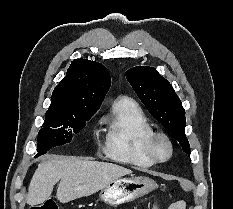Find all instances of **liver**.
Listing matches in <instances>:
<instances>
[{
  "label": "liver",
  "mask_w": 233,
  "mask_h": 209,
  "mask_svg": "<svg viewBox=\"0 0 233 209\" xmlns=\"http://www.w3.org/2000/svg\"><path fill=\"white\" fill-rule=\"evenodd\" d=\"M131 173L130 169L114 163L75 157L50 158L38 165L29 185L26 202L31 206L44 203L50 197L54 185L60 181L57 198L61 203H68L90 196Z\"/></svg>",
  "instance_id": "6515ba94"
}]
</instances>
